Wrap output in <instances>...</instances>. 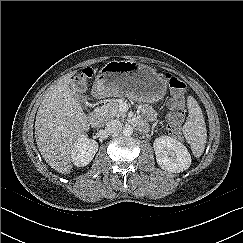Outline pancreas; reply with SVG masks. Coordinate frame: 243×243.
<instances>
[{
    "mask_svg": "<svg viewBox=\"0 0 243 243\" xmlns=\"http://www.w3.org/2000/svg\"><path fill=\"white\" fill-rule=\"evenodd\" d=\"M100 114L103 118L106 120L112 119V118H124L126 115L124 112L120 111L119 104L114 101H110L103 106L100 107Z\"/></svg>",
    "mask_w": 243,
    "mask_h": 243,
    "instance_id": "pancreas-1",
    "label": "pancreas"
}]
</instances>
